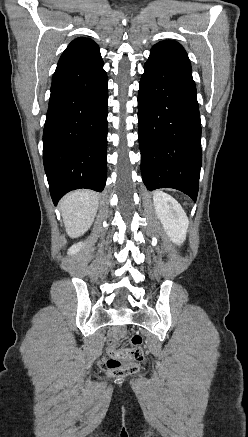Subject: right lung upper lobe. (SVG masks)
<instances>
[{"instance_id":"cb5924a9","label":"right lung upper lobe","mask_w":248,"mask_h":437,"mask_svg":"<svg viewBox=\"0 0 248 437\" xmlns=\"http://www.w3.org/2000/svg\"><path fill=\"white\" fill-rule=\"evenodd\" d=\"M101 58L98 45L91 39L80 37L74 39L63 52L59 63L86 62Z\"/></svg>"}]
</instances>
